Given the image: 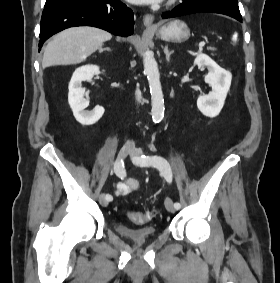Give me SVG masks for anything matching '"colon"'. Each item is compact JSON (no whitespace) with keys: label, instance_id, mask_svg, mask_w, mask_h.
<instances>
[{"label":"colon","instance_id":"5ec220e1","mask_svg":"<svg viewBox=\"0 0 280 283\" xmlns=\"http://www.w3.org/2000/svg\"><path fill=\"white\" fill-rule=\"evenodd\" d=\"M236 37H231L230 41L231 42H238L239 41V36L240 33L236 32L235 33ZM129 218L136 224H144L149 221H151L155 216L156 212L155 211H146V212H129Z\"/></svg>","mask_w":280,"mask_h":283}]
</instances>
